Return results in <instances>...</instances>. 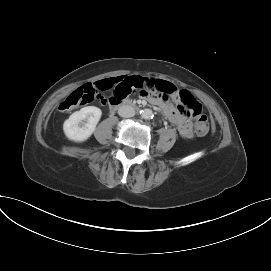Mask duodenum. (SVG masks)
Returning <instances> with one entry per match:
<instances>
[{
    "instance_id": "obj_1",
    "label": "duodenum",
    "mask_w": 271,
    "mask_h": 271,
    "mask_svg": "<svg viewBox=\"0 0 271 271\" xmlns=\"http://www.w3.org/2000/svg\"><path fill=\"white\" fill-rule=\"evenodd\" d=\"M109 106H110V108L112 110L117 109V108H119L121 106H130V107H133L135 109H138V107L135 104L131 103L130 101H126V102H113L112 100H110Z\"/></svg>"
}]
</instances>
